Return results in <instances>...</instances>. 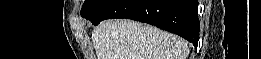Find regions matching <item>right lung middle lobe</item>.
<instances>
[{
    "label": "right lung middle lobe",
    "mask_w": 261,
    "mask_h": 59,
    "mask_svg": "<svg viewBox=\"0 0 261 59\" xmlns=\"http://www.w3.org/2000/svg\"><path fill=\"white\" fill-rule=\"evenodd\" d=\"M111 2L113 0H85L81 9V16L84 18L94 16Z\"/></svg>",
    "instance_id": "1"
}]
</instances>
